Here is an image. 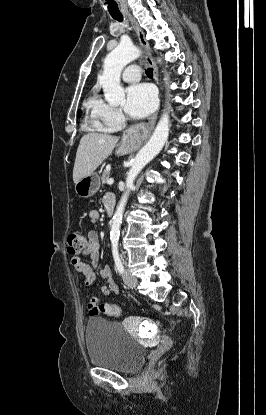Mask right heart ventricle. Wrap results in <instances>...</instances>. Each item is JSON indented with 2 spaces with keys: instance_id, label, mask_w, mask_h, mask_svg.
Returning <instances> with one entry per match:
<instances>
[{
  "instance_id": "right-heart-ventricle-1",
  "label": "right heart ventricle",
  "mask_w": 266,
  "mask_h": 415,
  "mask_svg": "<svg viewBox=\"0 0 266 415\" xmlns=\"http://www.w3.org/2000/svg\"><path fill=\"white\" fill-rule=\"evenodd\" d=\"M97 101L98 99H96L95 96L90 97L87 101V106L90 110V116H89L90 122L93 125V127L98 130H107L108 128H106L103 124L100 123V120L95 114V105Z\"/></svg>"
}]
</instances>
